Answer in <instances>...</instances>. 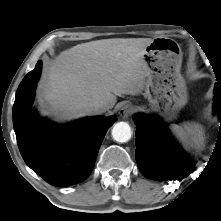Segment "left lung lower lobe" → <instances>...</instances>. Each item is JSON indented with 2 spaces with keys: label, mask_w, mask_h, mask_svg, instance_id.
Instances as JSON below:
<instances>
[{
  "label": "left lung lower lobe",
  "mask_w": 221,
  "mask_h": 221,
  "mask_svg": "<svg viewBox=\"0 0 221 221\" xmlns=\"http://www.w3.org/2000/svg\"><path fill=\"white\" fill-rule=\"evenodd\" d=\"M214 111L219 115L221 127V85L214 89ZM136 161L146 178L158 181H181L192 173L195 163L175 143L165 124L157 117L137 114ZM221 143V137L217 138Z\"/></svg>",
  "instance_id": "obj_1"
}]
</instances>
